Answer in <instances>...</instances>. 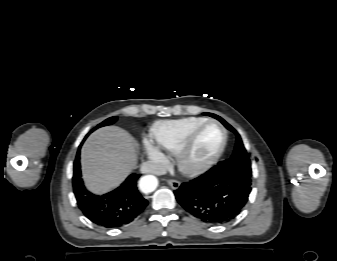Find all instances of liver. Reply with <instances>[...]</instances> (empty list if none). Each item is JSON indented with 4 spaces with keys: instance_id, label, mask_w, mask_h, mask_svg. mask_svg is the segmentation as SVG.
Segmentation results:
<instances>
[{
    "instance_id": "1",
    "label": "liver",
    "mask_w": 337,
    "mask_h": 261,
    "mask_svg": "<svg viewBox=\"0 0 337 261\" xmlns=\"http://www.w3.org/2000/svg\"><path fill=\"white\" fill-rule=\"evenodd\" d=\"M136 150L135 139L120 127H104L92 133L81 149L87 188L99 194L119 186L136 166Z\"/></svg>"
}]
</instances>
